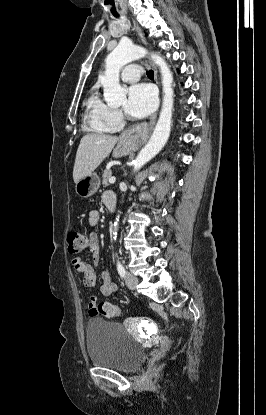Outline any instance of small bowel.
Masks as SVG:
<instances>
[{
  "mask_svg": "<svg viewBox=\"0 0 266 415\" xmlns=\"http://www.w3.org/2000/svg\"><path fill=\"white\" fill-rule=\"evenodd\" d=\"M103 202L107 206L109 203H116V197L113 192L107 191L103 194ZM100 215L97 210H92L88 214V223L91 226L97 225L99 221ZM86 252L91 257V263H85L80 256H75L72 258V265L75 270L82 274V279L84 285L88 287H94L96 284V272L95 266L99 262L100 257V245L98 242L97 235L95 233L90 234L89 242L86 248ZM101 278L103 280V285L101 286L100 290L101 293L105 296H109L117 291V285L113 281L111 274L108 270H103L101 272ZM97 304V298L95 296H91L89 299V314L91 316L97 315L94 312V309Z\"/></svg>",
  "mask_w": 266,
  "mask_h": 415,
  "instance_id": "c3829d8e",
  "label": "small bowel"
}]
</instances>
